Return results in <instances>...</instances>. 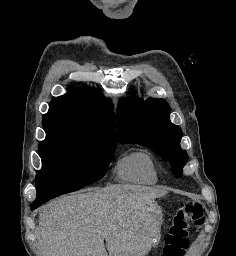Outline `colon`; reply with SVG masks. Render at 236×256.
Instances as JSON below:
<instances>
[{
	"mask_svg": "<svg viewBox=\"0 0 236 256\" xmlns=\"http://www.w3.org/2000/svg\"><path fill=\"white\" fill-rule=\"evenodd\" d=\"M192 222L196 230L205 222L203 206L198 201H185L172 215L162 256H185L189 245L188 227Z\"/></svg>",
	"mask_w": 236,
	"mask_h": 256,
	"instance_id": "colon-1",
	"label": "colon"
}]
</instances>
